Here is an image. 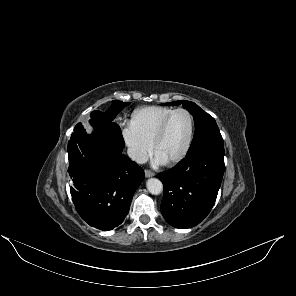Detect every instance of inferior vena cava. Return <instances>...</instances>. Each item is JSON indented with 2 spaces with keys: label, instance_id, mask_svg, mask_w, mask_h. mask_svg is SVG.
<instances>
[{
  "label": "inferior vena cava",
  "instance_id": "obj_1",
  "mask_svg": "<svg viewBox=\"0 0 296 296\" xmlns=\"http://www.w3.org/2000/svg\"><path fill=\"white\" fill-rule=\"evenodd\" d=\"M127 153L129 158H131L132 160H134L139 164H143L147 161L146 154L140 150H137L135 148H128Z\"/></svg>",
  "mask_w": 296,
  "mask_h": 296
}]
</instances>
